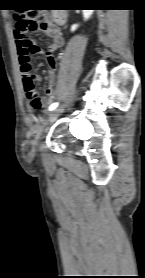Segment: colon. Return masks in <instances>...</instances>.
<instances>
[{
	"mask_svg": "<svg viewBox=\"0 0 145 278\" xmlns=\"http://www.w3.org/2000/svg\"><path fill=\"white\" fill-rule=\"evenodd\" d=\"M47 19L43 17L37 18H26L19 20L15 25V33L19 35L23 31H38L44 30L47 27ZM22 42L18 46L19 54H31L38 51V46L27 37L21 38ZM49 59L53 58V53H47ZM31 65L30 63L26 64L23 67L24 75V89L26 92L27 100L32 109L38 110L43 108L44 102L39 93L37 79L35 75L29 71Z\"/></svg>",
	"mask_w": 145,
	"mask_h": 278,
	"instance_id": "5ec220e1",
	"label": "colon"
}]
</instances>
